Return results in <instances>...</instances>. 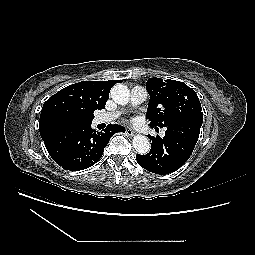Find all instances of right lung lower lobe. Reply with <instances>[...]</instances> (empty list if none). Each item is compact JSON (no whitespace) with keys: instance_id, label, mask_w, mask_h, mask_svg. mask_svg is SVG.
Here are the masks:
<instances>
[{"instance_id":"obj_1","label":"right lung lower lobe","mask_w":255,"mask_h":255,"mask_svg":"<svg viewBox=\"0 0 255 255\" xmlns=\"http://www.w3.org/2000/svg\"><path fill=\"white\" fill-rule=\"evenodd\" d=\"M116 132H125L120 125H108L102 132H95L91 123H79L72 128L56 126L41 137L49 155L66 170H84L94 165Z\"/></svg>"}]
</instances>
